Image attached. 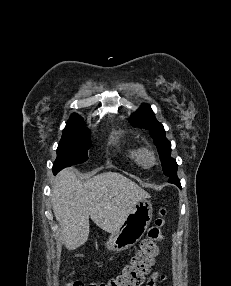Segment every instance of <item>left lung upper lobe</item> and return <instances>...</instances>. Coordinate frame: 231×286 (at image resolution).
I'll list each match as a JSON object with an SVG mask.
<instances>
[{
  "instance_id": "1",
  "label": "left lung upper lobe",
  "mask_w": 231,
  "mask_h": 286,
  "mask_svg": "<svg viewBox=\"0 0 231 286\" xmlns=\"http://www.w3.org/2000/svg\"><path fill=\"white\" fill-rule=\"evenodd\" d=\"M130 121L132 125L136 127L149 130L150 136L157 146L164 174L168 178L177 174L178 165L170 156L171 143L166 139L164 127L156 120L151 107L147 104H143L138 111L131 116Z\"/></svg>"
}]
</instances>
